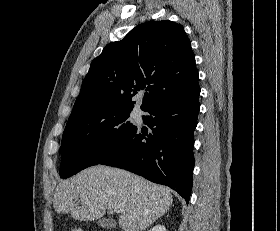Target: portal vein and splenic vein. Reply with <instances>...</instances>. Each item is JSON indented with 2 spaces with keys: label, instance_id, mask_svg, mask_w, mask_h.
I'll use <instances>...</instances> for the list:
<instances>
[{
  "label": "portal vein and splenic vein",
  "instance_id": "1",
  "mask_svg": "<svg viewBox=\"0 0 280 231\" xmlns=\"http://www.w3.org/2000/svg\"><path fill=\"white\" fill-rule=\"evenodd\" d=\"M114 211H116V213H120V211H124V209L118 205V207H115Z\"/></svg>",
  "mask_w": 280,
  "mask_h": 231
}]
</instances>
